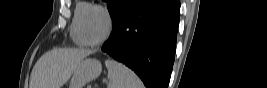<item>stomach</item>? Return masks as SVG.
Segmentation results:
<instances>
[{
  "label": "stomach",
  "instance_id": "obj_1",
  "mask_svg": "<svg viewBox=\"0 0 267 88\" xmlns=\"http://www.w3.org/2000/svg\"><path fill=\"white\" fill-rule=\"evenodd\" d=\"M102 70L100 61L87 58L83 59L75 68L69 88H83V86L96 79Z\"/></svg>",
  "mask_w": 267,
  "mask_h": 88
}]
</instances>
